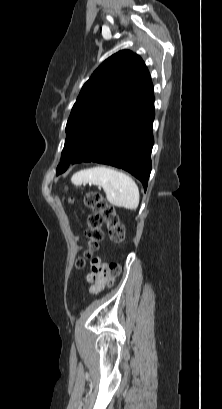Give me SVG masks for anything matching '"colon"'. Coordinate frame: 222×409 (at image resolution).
<instances>
[{
  "label": "colon",
  "instance_id": "colon-1",
  "mask_svg": "<svg viewBox=\"0 0 222 409\" xmlns=\"http://www.w3.org/2000/svg\"><path fill=\"white\" fill-rule=\"evenodd\" d=\"M66 192V190H65ZM84 207L90 209L92 214L88 217L85 237L88 241V249L83 257L76 260V267L82 268L85 265V258L91 256L99 242L102 240L101 225L105 223L110 239L114 243H122L125 240V229L120 222L115 210L104 200L103 196L96 191H85L83 193ZM121 273V266L117 262H110L107 271L109 283L111 284Z\"/></svg>",
  "mask_w": 222,
  "mask_h": 409
}]
</instances>
